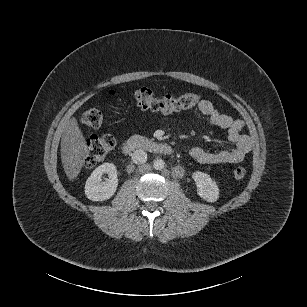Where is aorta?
Here are the masks:
<instances>
[{
	"instance_id": "762f6f07",
	"label": "aorta",
	"mask_w": 307,
	"mask_h": 307,
	"mask_svg": "<svg viewBox=\"0 0 307 307\" xmlns=\"http://www.w3.org/2000/svg\"><path fill=\"white\" fill-rule=\"evenodd\" d=\"M164 166H165V162L162 159H156L153 162V167L156 170H162L164 168Z\"/></svg>"
}]
</instances>
